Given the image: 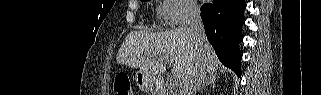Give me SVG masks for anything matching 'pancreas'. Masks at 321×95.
<instances>
[{
	"instance_id": "pancreas-1",
	"label": "pancreas",
	"mask_w": 321,
	"mask_h": 95,
	"mask_svg": "<svg viewBox=\"0 0 321 95\" xmlns=\"http://www.w3.org/2000/svg\"><path fill=\"white\" fill-rule=\"evenodd\" d=\"M165 92L167 93V95H168V94H169V95H173V94H174L173 91L170 90V89H166Z\"/></svg>"
}]
</instances>
